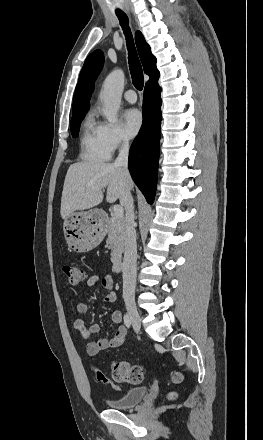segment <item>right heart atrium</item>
Segmentation results:
<instances>
[{
	"label": "right heart atrium",
	"mask_w": 263,
	"mask_h": 440,
	"mask_svg": "<svg viewBox=\"0 0 263 440\" xmlns=\"http://www.w3.org/2000/svg\"><path fill=\"white\" fill-rule=\"evenodd\" d=\"M103 137L110 153L129 145L130 140L117 124H104Z\"/></svg>",
	"instance_id": "obj_1"
}]
</instances>
